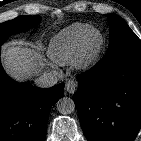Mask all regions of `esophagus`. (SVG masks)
I'll list each match as a JSON object with an SVG mask.
<instances>
[{
    "instance_id": "1",
    "label": "esophagus",
    "mask_w": 141,
    "mask_h": 141,
    "mask_svg": "<svg viewBox=\"0 0 141 141\" xmlns=\"http://www.w3.org/2000/svg\"><path fill=\"white\" fill-rule=\"evenodd\" d=\"M77 89V85L76 82L73 80H69L66 84H65V90L67 93L69 94H73Z\"/></svg>"
}]
</instances>
